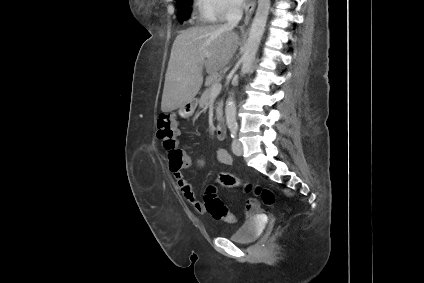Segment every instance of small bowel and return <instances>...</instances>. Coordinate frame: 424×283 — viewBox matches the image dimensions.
<instances>
[{
    "mask_svg": "<svg viewBox=\"0 0 424 283\" xmlns=\"http://www.w3.org/2000/svg\"><path fill=\"white\" fill-rule=\"evenodd\" d=\"M216 158H217V161L223 165H226V166L232 165V162H233L232 156L224 148H220L217 150ZM188 159H189V166H191L192 160L189 156H188ZM204 164H205L204 159L200 158L196 161L195 167L197 169H201L203 168ZM172 174L176 181L178 189L183 194L186 201L190 203L197 212L201 214L205 213L206 210H205L204 204L196 198L191 183L185 178L182 171L179 170L176 172H172Z\"/></svg>",
    "mask_w": 424,
    "mask_h": 283,
    "instance_id": "c3829d8e",
    "label": "small bowel"
}]
</instances>
